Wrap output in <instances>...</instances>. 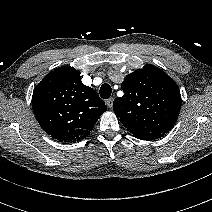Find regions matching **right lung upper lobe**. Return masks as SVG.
Here are the masks:
<instances>
[{
	"label": "right lung upper lobe",
	"mask_w": 212,
	"mask_h": 212,
	"mask_svg": "<svg viewBox=\"0 0 212 212\" xmlns=\"http://www.w3.org/2000/svg\"><path fill=\"white\" fill-rule=\"evenodd\" d=\"M34 115L43 130L60 142H78L92 131L107 107L81 82L80 72L63 66L50 72L32 96Z\"/></svg>",
	"instance_id": "right-lung-upper-lobe-1"
}]
</instances>
